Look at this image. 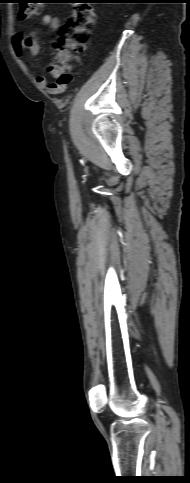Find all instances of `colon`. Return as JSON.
Masks as SVG:
<instances>
[{"instance_id": "5ec220e1", "label": "colon", "mask_w": 190, "mask_h": 483, "mask_svg": "<svg viewBox=\"0 0 190 483\" xmlns=\"http://www.w3.org/2000/svg\"><path fill=\"white\" fill-rule=\"evenodd\" d=\"M19 16L22 19L35 17L41 9L40 0H21ZM96 16L94 9L86 4H77L72 14L62 26L59 37L54 43L58 49L67 48L73 56L83 53L94 28ZM67 58L66 53H62L57 61L48 66L50 74L56 79L55 85L58 89H64L72 82V75L65 70L62 62Z\"/></svg>"}]
</instances>
